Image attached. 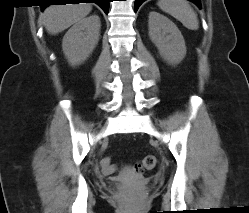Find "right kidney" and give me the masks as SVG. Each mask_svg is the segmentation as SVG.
Here are the masks:
<instances>
[{"label": "right kidney", "instance_id": "obj_1", "mask_svg": "<svg viewBox=\"0 0 249 213\" xmlns=\"http://www.w3.org/2000/svg\"><path fill=\"white\" fill-rule=\"evenodd\" d=\"M100 18L91 15L75 23L65 34L62 49L71 66L83 63L96 47L100 36Z\"/></svg>", "mask_w": 249, "mask_h": 213}]
</instances>
